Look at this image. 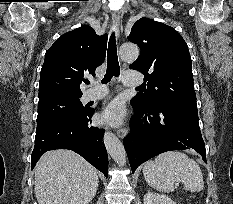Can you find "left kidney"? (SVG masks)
<instances>
[{"instance_id":"1","label":"left kidney","mask_w":233,"mask_h":204,"mask_svg":"<svg viewBox=\"0 0 233 204\" xmlns=\"http://www.w3.org/2000/svg\"><path fill=\"white\" fill-rule=\"evenodd\" d=\"M144 204H177L166 195L148 192L144 195Z\"/></svg>"}]
</instances>
